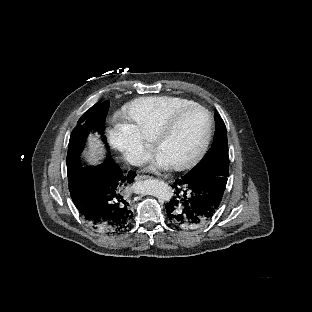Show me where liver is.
<instances>
[{"label":"liver","mask_w":312,"mask_h":312,"mask_svg":"<svg viewBox=\"0 0 312 312\" xmlns=\"http://www.w3.org/2000/svg\"><path fill=\"white\" fill-rule=\"evenodd\" d=\"M88 150L84 151L83 156L89 165H98L104 158V150L97 134H90L88 138Z\"/></svg>","instance_id":"1"}]
</instances>
